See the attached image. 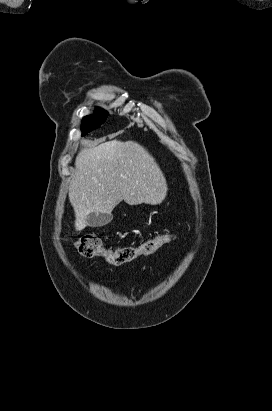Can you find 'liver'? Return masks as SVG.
I'll list each match as a JSON object with an SVG mask.
<instances>
[{
  "label": "liver",
  "instance_id": "obj_1",
  "mask_svg": "<svg viewBox=\"0 0 272 411\" xmlns=\"http://www.w3.org/2000/svg\"><path fill=\"white\" fill-rule=\"evenodd\" d=\"M69 186L75 229L83 230L92 211L111 214L124 200L129 205H157L166 197V179L155 159L134 141L112 140L82 149Z\"/></svg>",
  "mask_w": 272,
  "mask_h": 411
}]
</instances>
